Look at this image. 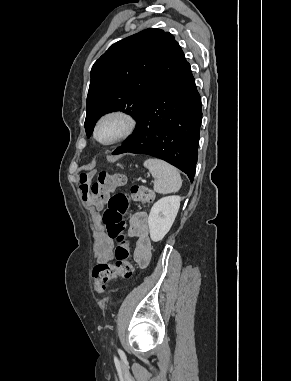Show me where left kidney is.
<instances>
[{
  "label": "left kidney",
  "instance_id": "5707ae66",
  "mask_svg": "<svg viewBox=\"0 0 291 381\" xmlns=\"http://www.w3.org/2000/svg\"><path fill=\"white\" fill-rule=\"evenodd\" d=\"M180 196H166L159 199L151 208L148 225L152 241H161L169 232L180 207Z\"/></svg>",
  "mask_w": 291,
  "mask_h": 381
}]
</instances>
